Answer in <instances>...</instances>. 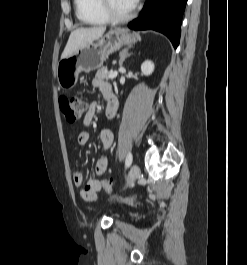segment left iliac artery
I'll return each mask as SVG.
<instances>
[{
	"label": "left iliac artery",
	"mask_w": 247,
	"mask_h": 265,
	"mask_svg": "<svg viewBox=\"0 0 247 265\" xmlns=\"http://www.w3.org/2000/svg\"><path fill=\"white\" fill-rule=\"evenodd\" d=\"M131 163H132V155H131V153H129V154L127 155V157H126V160H125V165H126V167H127V168L130 167Z\"/></svg>",
	"instance_id": "left-iliac-artery-1"
}]
</instances>
